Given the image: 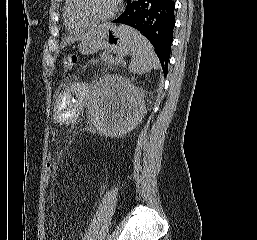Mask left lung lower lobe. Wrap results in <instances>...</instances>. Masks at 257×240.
I'll return each mask as SVG.
<instances>
[{
  "label": "left lung lower lobe",
  "mask_w": 257,
  "mask_h": 240,
  "mask_svg": "<svg viewBox=\"0 0 257 240\" xmlns=\"http://www.w3.org/2000/svg\"><path fill=\"white\" fill-rule=\"evenodd\" d=\"M174 9V0H127L125 11L113 20L139 30L151 42L164 76L167 75L173 41Z\"/></svg>",
  "instance_id": "1"
}]
</instances>
